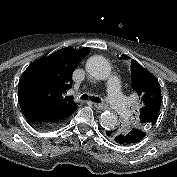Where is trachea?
<instances>
[{
	"mask_svg": "<svg viewBox=\"0 0 177 177\" xmlns=\"http://www.w3.org/2000/svg\"><path fill=\"white\" fill-rule=\"evenodd\" d=\"M80 98L85 100V99H88L89 96L87 94H83ZM90 98L95 102H101V99L98 97L91 96Z\"/></svg>",
	"mask_w": 177,
	"mask_h": 177,
	"instance_id": "3493384b",
	"label": "trachea"
}]
</instances>
